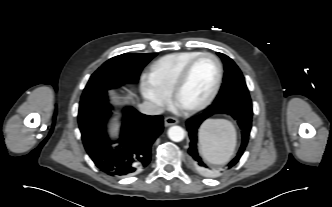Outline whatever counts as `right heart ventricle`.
Here are the masks:
<instances>
[{"mask_svg":"<svg viewBox=\"0 0 332 207\" xmlns=\"http://www.w3.org/2000/svg\"><path fill=\"white\" fill-rule=\"evenodd\" d=\"M199 51H185L165 55L153 62L146 75L147 81L159 91L170 95L174 83L183 67Z\"/></svg>","mask_w":332,"mask_h":207,"instance_id":"right-heart-ventricle-1","label":"right heart ventricle"}]
</instances>
